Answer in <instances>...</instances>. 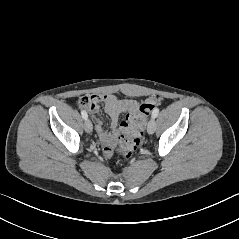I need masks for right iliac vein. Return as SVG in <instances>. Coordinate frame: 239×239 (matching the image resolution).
<instances>
[{
    "instance_id": "63e3f726",
    "label": "right iliac vein",
    "mask_w": 239,
    "mask_h": 239,
    "mask_svg": "<svg viewBox=\"0 0 239 239\" xmlns=\"http://www.w3.org/2000/svg\"><path fill=\"white\" fill-rule=\"evenodd\" d=\"M84 129L87 133H91L93 131V125L90 120H86L84 123Z\"/></svg>"
}]
</instances>
